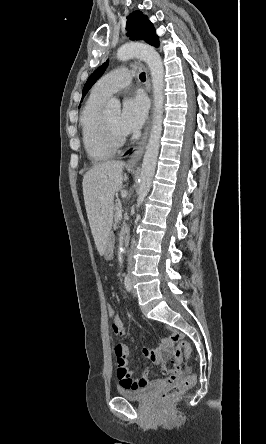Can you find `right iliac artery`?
Listing matches in <instances>:
<instances>
[{
  "instance_id": "82829eb1",
  "label": "right iliac artery",
  "mask_w": 266,
  "mask_h": 444,
  "mask_svg": "<svg viewBox=\"0 0 266 444\" xmlns=\"http://www.w3.org/2000/svg\"><path fill=\"white\" fill-rule=\"evenodd\" d=\"M124 285H125L126 290L130 292L132 289V285H131L130 278L128 276H125Z\"/></svg>"
}]
</instances>
